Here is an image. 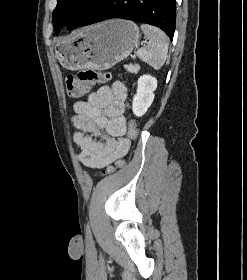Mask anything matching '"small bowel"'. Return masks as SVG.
I'll list each match as a JSON object with an SVG mask.
<instances>
[{
  "label": "small bowel",
  "mask_w": 247,
  "mask_h": 280,
  "mask_svg": "<svg viewBox=\"0 0 247 280\" xmlns=\"http://www.w3.org/2000/svg\"><path fill=\"white\" fill-rule=\"evenodd\" d=\"M128 90L123 82L102 86L85 100L77 101L74 135L81 152L79 160L90 168H104L127 154L130 143L125 138V100Z\"/></svg>",
  "instance_id": "obj_1"
}]
</instances>
